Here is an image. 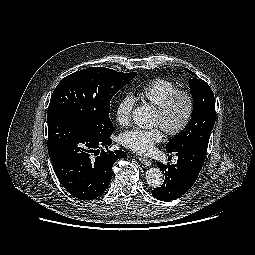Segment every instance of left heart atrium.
Listing matches in <instances>:
<instances>
[{
	"instance_id": "obj_1",
	"label": "left heart atrium",
	"mask_w": 255,
	"mask_h": 255,
	"mask_svg": "<svg viewBox=\"0 0 255 255\" xmlns=\"http://www.w3.org/2000/svg\"><path fill=\"white\" fill-rule=\"evenodd\" d=\"M163 133L160 127L152 129L134 128L120 135V143L139 154H149L154 150V145L160 142Z\"/></svg>"
}]
</instances>
